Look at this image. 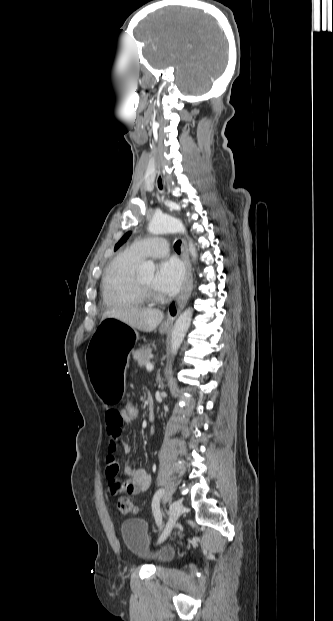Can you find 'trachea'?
Returning a JSON list of instances; mask_svg holds the SVG:
<instances>
[{"mask_svg":"<svg viewBox=\"0 0 333 621\" xmlns=\"http://www.w3.org/2000/svg\"><path fill=\"white\" fill-rule=\"evenodd\" d=\"M180 246H181V241L178 240L175 244H174V249L176 252H180Z\"/></svg>","mask_w":333,"mask_h":621,"instance_id":"trachea-1","label":"trachea"}]
</instances>
